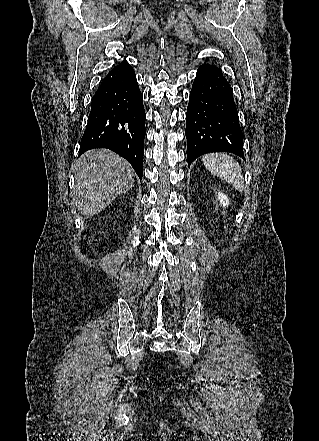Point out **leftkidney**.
<instances>
[{
  "mask_svg": "<svg viewBox=\"0 0 319 441\" xmlns=\"http://www.w3.org/2000/svg\"><path fill=\"white\" fill-rule=\"evenodd\" d=\"M217 199L219 200L220 204L224 207L229 205V199L224 193H218Z\"/></svg>",
  "mask_w": 319,
  "mask_h": 441,
  "instance_id": "left-kidney-1",
  "label": "left kidney"
}]
</instances>
